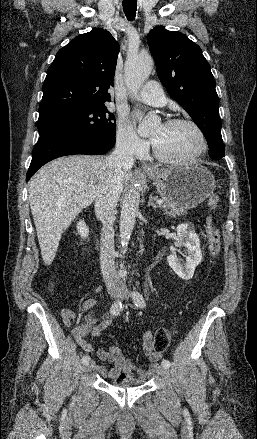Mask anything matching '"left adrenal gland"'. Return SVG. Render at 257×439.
Segmentation results:
<instances>
[{"label": "left adrenal gland", "instance_id": "left-adrenal-gland-1", "mask_svg": "<svg viewBox=\"0 0 257 439\" xmlns=\"http://www.w3.org/2000/svg\"><path fill=\"white\" fill-rule=\"evenodd\" d=\"M148 207H152V208H154V209H156V208H158V206L153 202V199H152V195H150V197H149V202H148V205H147Z\"/></svg>", "mask_w": 257, "mask_h": 439}]
</instances>
